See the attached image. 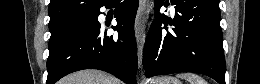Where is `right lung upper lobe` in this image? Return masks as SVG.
<instances>
[{
    "label": "right lung upper lobe",
    "instance_id": "right-lung-upper-lobe-1",
    "mask_svg": "<svg viewBox=\"0 0 260 84\" xmlns=\"http://www.w3.org/2000/svg\"><path fill=\"white\" fill-rule=\"evenodd\" d=\"M110 0H51L49 28L58 27L81 16L97 13Z\"/></svg>",
    "mask_w": 260,
    "mask_h": 84
}]
</instances>
